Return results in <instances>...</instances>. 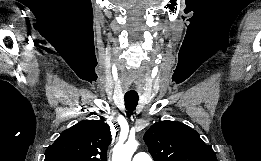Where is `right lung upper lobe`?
Here are the masks:
<instances>
[{"instance_id":"right-lung-upper-lobe-1","label":"right lung upper lobe","mask_w":261,"mask_h":161,"mask_svg":"<svg viewBox=\"0 0 261 161\" xmlns=\"http://www.w3.org/2000/svg\"><path fill=\"white\" fill-rule=\"evenodd\" d=\"M110 142L104 121L84 120L61 133L47 148L44 161H107Z\"/></svg>"}]
</instances>
